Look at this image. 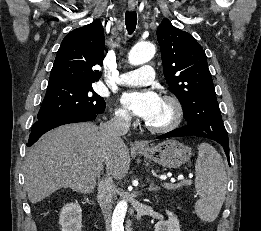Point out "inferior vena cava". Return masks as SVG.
Instances as JSON below:
<instances>
[{
  "label": "inferior vena cava",
  "instance_id": "inferior-vena-cava-1",
  "mask_svg": "<svg viewBox=\"0 0 261 231\" xmlns=\"http://www.w3.org/2000/svg\"><path fill=\"white\" fill-rule=\"evenodd\" d=\"M130 127V118L128 116H117L106 122L100 127L104 145L107 150L113 149L115 146L122 143L121 136L127 134ZM100 163L99 169L102 168ZM107 174L99 183V204L102 210L107 231L111 229V213H112V198L114 193L113 174L110 169L106 168Z\"/></svg>",
  "mask_w": 261,
  "mask_h": 231
}]
</instances>
